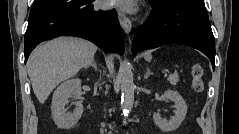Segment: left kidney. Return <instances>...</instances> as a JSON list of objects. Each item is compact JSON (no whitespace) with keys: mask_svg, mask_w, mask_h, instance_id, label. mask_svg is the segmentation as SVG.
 <instances>
[{"mask_svg":"<svg viewBox=\"0 0 239 134\" xmlns=\"http://www.w3.org/2000/svg\"><path fill=\"white\" fill-rule=\"evenodd\" d=\"M164 96L175 103L176 110L174 116L167 120L165 118H161L159 113H154L153 120L156 126H158L162 131L171 132L176 130L185 119L187 114V105L181 95L176 91L166 90L164 92Z\"/></svg>","mask_w":239,"mask_h":134,"instance_id":"obj_1","label":"left kidney"}]
</instances>
